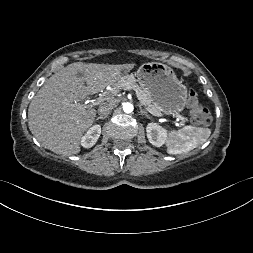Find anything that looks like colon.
<instances>
[{"label":"colon","mask_w":253,"mask_h":253,"mask_svg":"<svg viewBox=\"0 0 253 253\" xmlns=\"http://www.w3.org/2000/svg\"><path fill=\"white\" fill-rule=\"evenodd\" d=\"M188 102L192 107L191 120L194 124L210 123L211 114L207 107L199 103L198 93L194 88L188 90Z\"/></svg>","instance_id":"colon-1"}]
</instances>
